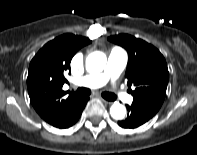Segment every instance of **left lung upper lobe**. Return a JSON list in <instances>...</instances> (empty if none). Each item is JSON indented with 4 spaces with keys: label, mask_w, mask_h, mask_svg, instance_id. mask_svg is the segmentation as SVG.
<instances>
[{
    "label": "left lung upper lobe",
    "mask_w": 197,
    "mask_h": 155,
    "mask_svg": "<svg viewBox=\"0 0 197 155\" xmlns=\"http://www.w3.org/2000/svg\"><path fill=\"white\" fill-rule=\"evenodd\" d=\"M109 41L128 52L126 78L133 95L132 105L153 117L166 96L169 72L163 55L151 44L128 34L110 36Z\"/></svg>",
    "instance_id": "left-lung-upper-lobe-1"
}]
</instances>
